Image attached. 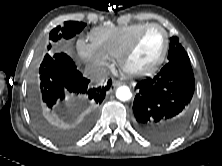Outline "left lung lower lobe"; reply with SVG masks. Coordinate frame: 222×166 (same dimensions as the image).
Here are the masks:
<instances>
[{
    "label": "left lung lower lobe",
    "instance_id": "0a47b994",
    "mask_svg": "<svg viewBox=\"0 0 222 166\" xmlns=\"http://www.w3.org/2000/svg\"><path fill=\"white\" fill-rule=\"evenodd\" d=\"M195 87L190 62L167 63L154 78L136 85L135 126L145 138L166 143L184 132Z\"/></svg>",
    "mask_w": 222,
    "mask_h": 166
}]
</instances>
